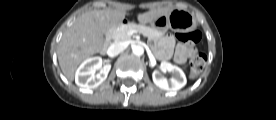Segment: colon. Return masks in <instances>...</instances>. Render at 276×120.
Here are the masks:
<instances>
[{
	"mask_svg": "<svg viewBox=\"0 0 276 120\" xmlns=\"http://www.w3.org/2000/svg\"><path fill=\"white\" fill-rule=\"evenodd\" d=\"M178 41L181 44H196L201 40V32L198 30H193L191 32H181L176 35ZM206 64V55L199 52L191 57L186 65V69L191 77H196L199 75Z\"/></svg>",
	"mask_w": 276,
	"mask_h": 120,
	"instance_id": "1",
	"label": "colon"
}]
</instances>
